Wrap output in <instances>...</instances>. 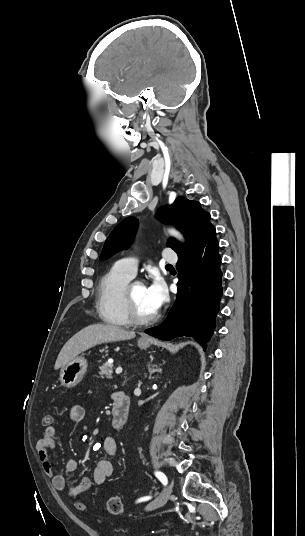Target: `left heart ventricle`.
I'll list each match as a JSON object with an SVG mask.
<instances>
[{
	"instance_id": "1",
	"label": "left heart ventricle",
	"mask_w": 305,
	"mask_h": 536,
	"mask_svg": "<svg viewBox=\"0 0 305 536\" xmlns=\"http://www.w3.org/2000/svg\"><path fill=\"white\" fill-rule=\"evenodd\" d=\"M130 296H131V300H132V303L134 305V307L143 315H150L152 313H154L155 311H153L148 303H147V299H146V288L139 284V283H135L133 285L130 286Z\"/></svg>"
}]
</instances>
